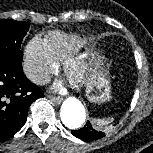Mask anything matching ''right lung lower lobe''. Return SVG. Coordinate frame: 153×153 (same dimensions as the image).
<instances>
[{
    "label": "right lung lower lobe",
    "instance_id": "obj_1",
    "mask_svg": "<svg viewBox=\"0 0 153 153\" xmlns=\"http://www.w3.org/2000/svg\"><path fill=\"white\" fill-rule=\"evenodd\" d=\"M43 96V90L23 73L22 62L0 59V140L21 129L29 106Z\"/></svg>",
    "mask_w": 153,
    "mask_h": 153
}]
</instances>
